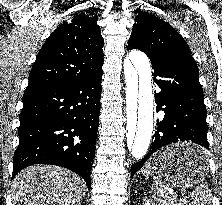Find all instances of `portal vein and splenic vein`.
Segmentation results:
<instances>
[{
    "label": "portal vein and splenic vein",
    "mask_w": 222,
    "mask_h": 205,
    "mask_svg": "<svg viewBox=\"0 0 222 205\" xmlns=\"http://www.w3.org/2000/svg\"><path fill=\"white\" fill-rule=\"evenodd\" d=\"M167 193H168L170 196H173V197L176 196V192H175L172 188H168V189H167ZM183 202H186V201L183 200Z\"/></svg>",
    "instance_id": "obj_1"
}]
</instances>
